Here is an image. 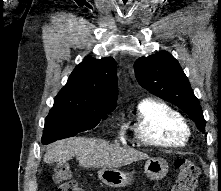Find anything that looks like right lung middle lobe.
Listing matches in <instances>:
<instances>
[{"label":"right lung middle lobe","mask_w":221,"mask_h":191,"mask_svg":"<svg viewBox=\"0 0 221 191\" xmlns=\"http://www.w3.org/2000/svg\"><path fill=\"white\" fill-rule=\"evenodd\" d=\"M110 112L79 107H54L45 119L42 143L75 136L96 127Z\"/></svg>","instance_id":"right-lung-middle-lobe-1"}]
</instances>
